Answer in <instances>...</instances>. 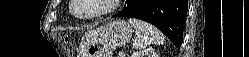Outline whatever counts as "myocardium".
I'll return each instance as SVG.
<instances>
[{"instance_id": "1", "label": "myocardium", "mask_w": 249, "mask_h": 57, "mask_svg": "<svg viewBox=\"0 0 249 57\" xmlns=\"http://www.w3.org/2000/svg\"><path fill=\"white\" fill-rule=\"evenodd\" d=\"M120 2L121 0H106L105 8L101 9L100 11L96 13H92V14H87V15H78L75 12V8L78 3V0H72L70 3V11L72 15L76 17L77 19L89 20V19H94V18L112 13L113 11L116 10Z\"/></svg>"}]
</instances>
